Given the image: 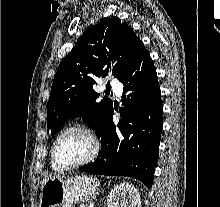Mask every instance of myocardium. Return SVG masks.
Returning <instances> with one entry per match:
<instances>
[{
    "label": "myocardium",
    "instance_id": "1",
    "mask_svg": "<svg viewBox=\"0 0 220 207\" xmlns=\"http://www.w3.org/2000/svg\"><path fill=\"white\" fill-rule=\"evenodd\" d=\"M72 131H78V132L85 134L90 139V141L92 143V150H91L90 154L84 160H82L80 162L70 164V165H61L58 163L57 158H56V147H57L59 140L65 134L72 132ZM100 149H101V143H100V140L97 137V135L91 129H89L87 126H84L81 124H75V125H71V126L64 128L56 136V138L52 144V147H51V161L55 165V167L59 170H72V169H76V168L82 167L84 165H87L90 162H92L93 160H95V158L98 156V154L100 152Z\"/></svg>",
    "mask_w": 220,
    "mask_h": 207
}]
</instances>
